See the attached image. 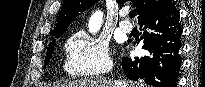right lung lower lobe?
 <instances>
[{"instance_id":"right-lung-lower-lobe-1","label":"right lung lower lobe","mask_w":205,"mask_h":87,"mask_svg":"<svg viewBox=\"0 0 205 87\" xmlns=\"http://www.w3.org/2000/svg\"><path fill=\"white\" fill-rule=\"evenodd\" d=\"M138 22L148 29L140 40L144 39L142 48L150 54L133 60L123 57V71L130 80L142 79L155 87H176L182 62V28L174 0H164Z\"/></svg>"}]
</instances>
